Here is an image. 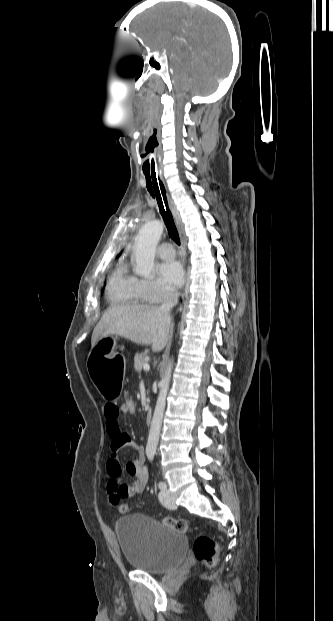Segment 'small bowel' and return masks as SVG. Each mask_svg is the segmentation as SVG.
Wrapping results in <instances>:
<instances>
[{"instance_id":"obj_1","label":"small bowel","mask_w":333,"mask_h":621,"mask_svg":"<svg viewBox=\"0 0 333 621\" xmlns=\"http://www.w3.org/2000/svg\"><path fill=\"white\" fill-rule=\"evenodd\" d=\"M121 413H123L122 408L114 403H107L103 408L105 428L107 435L111 439L110 448L114 453L107 462V470L110 477L107 484V494L112 504H118L122 499L141 494L148 482V471L144 466L143 450L127 433L121 430L118 421ZM124 448L136 450L137 457L122 464L115 453ZM122 474L133 477V482H122Z\"/></svg>"}]
</instances>
